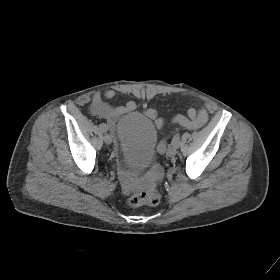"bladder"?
<instances>
[{
    "label": "bladder",
    "mask_w": 280,
    "mask_h": 280,
    "mask_svg": "<svg viewBox=\"0 0 280 280\" xmlns=\"http://www.w3.org/2000/svg\"><path fill=\"white\" fill-rule=\"evenodd\" d=\"M116 134L126 166L142 170L152 163L158 132L150 118L138 112L129 113L118 121Z\"/></svg>",
    "instance_id": "31cf9c89"
}]
</instances>
